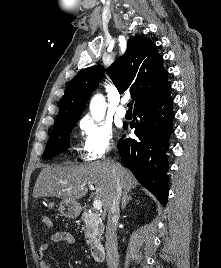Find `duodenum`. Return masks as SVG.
I'll return each mask as SVG.
<instances>
[{"mask_svg":"<svg viewBox=\"0 0 221 268\" xmlns=\"http://www.w3.org/2000/svg\"><path fill=\"white\" fill-rule=\"evenodd\" d=\"M105 247L103 243H95L91 247V257L96 262H101L105 259Z\"/></svg>","mask_w":221,"mask_h":268,"instance_id":"duodenum-1","label":"duodenum"}]
</instances>
